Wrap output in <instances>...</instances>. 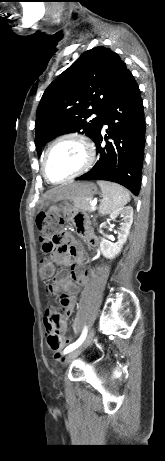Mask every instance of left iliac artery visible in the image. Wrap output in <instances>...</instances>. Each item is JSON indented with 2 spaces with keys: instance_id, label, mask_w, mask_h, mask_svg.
I'll use <instances>...</instances> for the list:
<instances>
[{
  "instance_id": "obj_1",
  "label": "left iliac artery",
  "mask_w": 165,
  "mask_h": 461,
  "mask_svg": "<svg viewBox=\"0 0 165 461\" xmlns=\"http://www.w3.org/2000/svg\"><path fill=\"white\" fill-rule=\"evenodd\" d=\"M86 334H87V329L85 328L80 338L75 343L66 347V349L64 350V353L66 354L76 349L84 341Z\"/></svg>"
}]
</instances>
